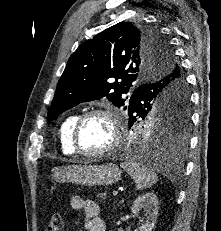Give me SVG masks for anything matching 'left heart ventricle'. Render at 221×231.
<instances>
[{"mask_svg": "<svg viewBox=\"0 0 221 231\" xmlns=\"http://www.w3.org/2000/svg\"><path fill=\"white\" fill-rule=\"evenodd\" d=\"M112 140V127L103 115L89 117L79 132V145L82 150L95 152L107 147Z\"/></svg>", "mask_w": 221, "mask_h": 231, "instance_id": "obj_1", "label": "left heart ventricle"}]
</instances>
